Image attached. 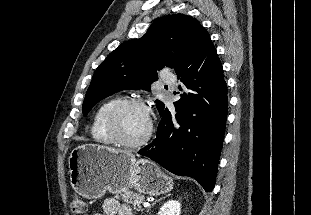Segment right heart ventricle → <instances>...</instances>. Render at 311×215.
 Returning <instances> with one entry per match:
<instances>
[{"label": "right heart ventricle", "instance_id": "e07e8e85", "mask_svg": "<svg viewBox=\"0 0 311 215\" xmlns=\"http://www.w3.org/2000/svg\"><path fill=\"white\" fill-rule=\"evenodd\" d=\"M121 100L120 96H115L105 100L97 107L91 124V135L94 141L104 145L115 143L106 128V118L111 108Z\"/></svg>", "mask_w": 311, "mask_h": 215}]
</instances>
